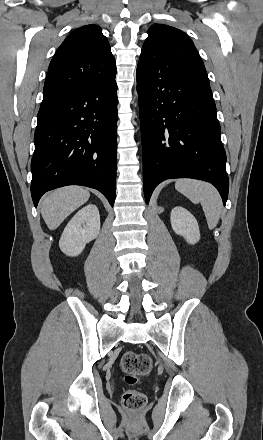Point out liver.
<instances>
[{"label": "liver", "instance_id": "obj_1", "mask_svg": "<svg viewBox=\"0 0 263 440\" xmlns=\"http://www.w3.org/2000/svg\"><path fill=\"white\" fill-rule=\"evenodd\" d=\"M89 197L90 193L78 186L63 187L48 194L41 203V214L48 228L55 230Z\"/></svg>", "mask_w": 263, "mask_h": 440}]
</instances>
